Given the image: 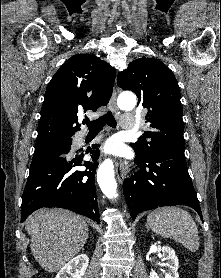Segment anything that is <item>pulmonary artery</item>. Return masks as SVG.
<instances>
[{"mask_svg": "<svg viewBox=\"0 0 221 278\" xmlns=\"http://www.w3.org/2000/svg\"><path fill=\"white\" fill-rule=\"evenodd\" d=\"M121 127L123 129H133L135 126V117L133 115H124L120 118ZM85 137L84 133L78 135V140L81 141Z\"/></svg>", "mask_w": 221, "mask_h": 278, "instance_id": "e3ab8cb5", "label": "pulmonary artery"}]
</instances>
